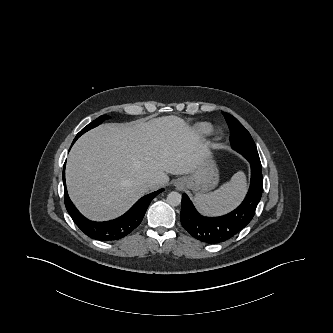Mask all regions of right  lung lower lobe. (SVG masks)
Wrapping results in <instances>:
<instances>
[{"instance_id": "right-lung-lower-lobe-1", "label": "right lung lower lobe", "mask_w": 333, "mask_h": 333, "mask_svg": "<svg viewBox=\"0 0 333 333\" xmlns=\"http://www.w3.org/2000/svg\"><path fill=\"white\" fill-rule=\"evenodd\" d=\"M77 139L75 137L73 143ZM63 184L65 206L72 220L87 236L100 241L118 240L128 235L141 223L151 200L164 191V189H160L140 198L129 211L117 219L106 222H94L85 218L70 200L66 189L65 165L63 169Z\"/></svg>"}]
</instances>
